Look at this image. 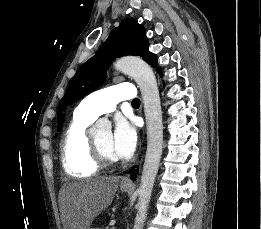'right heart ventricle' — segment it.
<instances>
[{"mask_svg": "<svg viewBox=\"0 0 261 229\" xmlns=\"http://www.w3.org/2000/svg\"><path fill=\"white\" fill-rule=\"evenodd\" d=\"M94 121L86 117L77 105L73 110L72 120L61 138V162L64 169L72 175L94 176L102 169L96 157L93 141L87 133L88 127Z\"/></svg>", "mask_w": 261, "mask_h": 229, "instance_id": "right-heart-ventricle-1", "label": "right heart ventricle"}]
</instances>
